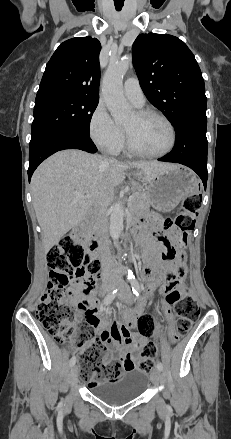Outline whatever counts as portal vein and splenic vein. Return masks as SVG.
Here are the masks:
<instances>
[{
  "label": "portal vein and splenic vein",
  "mask_w": 231,
  "mask_h": 439,
  "mask_svg": "<svg viewBox=\"0 0 231 439\" xmlns=\"http://www.w3.org/2000/svg\"><path fill=\"white\" fill-rule=\"evenodd\" d=\"M76 198L78 199H89L90 196L89 195H81V194H76ZM134 198V195L129 197V201H131Z\"/></svg>",
  "instance_id": "18ae733b"
}]
</instances>
